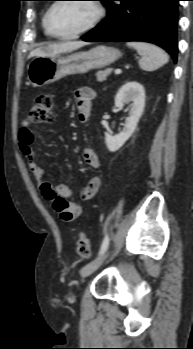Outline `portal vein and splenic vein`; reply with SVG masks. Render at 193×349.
Listing matches in <instances>:
<instances>
[{
  "instance_id": "1",
  "label": "portal vein and splenic vein",
  "mask_w": 193,
  "mask_h": 349,
  "mask_svg": "<svg viewBox=\"0 0 193 349\" xmlns=\"http://www.w3.org/2000/svg\"><path fill=\"white\" fill-rule=\"evenodd\" d=\"M121 73V69H115V74H120Z\"/></svg>"
}]
</instances>
